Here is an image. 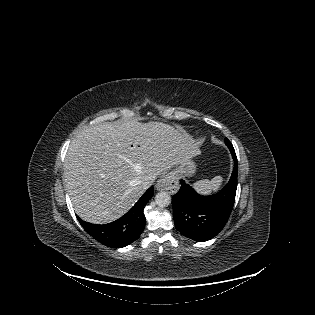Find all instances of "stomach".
I'll return each mask as SVG.
<instances>
[{
    "label": "stomach",
    "instance_id": "0dacf381",
    "mask_svg": "<svg viewBox=\"0 0 315 315\" xmlns=\"http://www.w3.org/2000/svg\"><path fill=\"white\" fill-rule=\"evenodd\" d=\"M196 172V165L193 161H188L185 164L179 165L174 171L171 172L176 179L181 176H192Z\"/></svg>",
    "mask_w": 315,
    "mask_h": 315
}]
</instances>
